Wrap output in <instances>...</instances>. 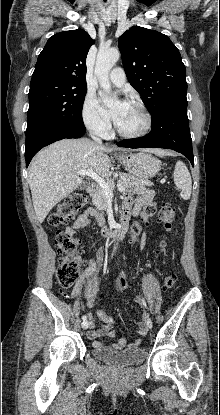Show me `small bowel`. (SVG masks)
Wrapping results in <instances>:
<instances>
[{"label":"small bowel","instance_id":"c3829d8e","mask_svg":"<svg viewBox=\"0 0 220 415\" xmlns=\"http://www.w3.org/2000/svg\"><path fill=\"white\" fill-rule=\"evenodd\" d=\"M134 191L128 190L124 195L122 214L133 215L138 218L130 228L129 232V242L134 243L139 236L141 239V247H144V228L149 217L145 216L143 213L144 208L147 205H150L153 202L154 193L151 190L146 188H141L138 190V196L133 197ZM92 218H95L101 225L104 224V217L99 213L95 208L88 207L82 214H80L73 225L68 228V231L72 234L77 233L78 231L87 227ZM104 261V251L101 247L97 248L95 256L89 259L87 267L84 270L83 278H81L75 285L72 295L75 298H83L86 302L88 308L94 307V302L97 293V283H98V271ZM127 285V277L123 276L120 278L116 284L115 289L121 291ZM97 318L103 323V326L98 328L93 319L94 315L89 314L90 319V331L87 332V337L89 339H96L102 336L115 337L116 330L114 329V321L111 316H109L103 309L96 311ZM148 330L145 323H139L138 333L141 336H145ZM142 343V339L138 338L131 343H127L125 338L119 339L115 342L112 347L117 350L122 349H136ZM93 346H104L103 343L99 341H94Z\"/></svg>","mask_w":220,"mask_h":415}]
</instances>
